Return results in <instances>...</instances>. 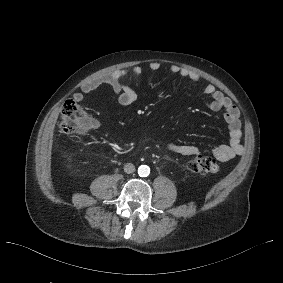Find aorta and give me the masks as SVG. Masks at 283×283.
Segmentation results:
<instances>
[{
    "mask_svg": "<svg viewBox=\"0 0 283 283\" xmlns=\"http://www.w3.org/2000/svg\"><path fill=\"white\" fill-rule=\"evenodd\" d=\"M138 174L141 177H147L150 174V168L147 165H141L138 167Z\"/></svg>",
    "mask_w": 283,
    "mask_h": 283,
    "instance_id": "aorta-1",
    "label": "aorta"
}]
</instances>
